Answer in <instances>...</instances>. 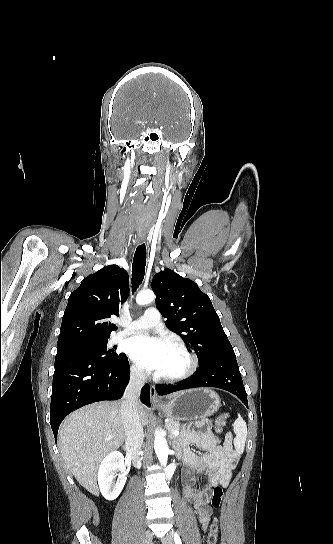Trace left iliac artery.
Here are the masks:
<instances>
[{"label":"left iliac artery","instance_id":"1","mask_svg":"<svg viewBox=\"0 0 333 544\" xmlns=\"http://www.w3.org/2000/svg\"><path fill=\"white\" fill-rule=\"evenodd\" d=\"M175 544H182L181 538L177 532L174 533Z\"/></svg>","mask_w":333,"mask_h":544}]
</instances>
